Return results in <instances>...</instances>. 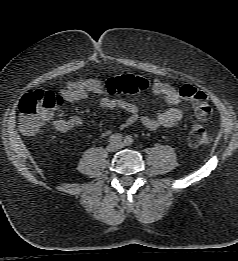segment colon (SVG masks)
Instances as JSON below:
<instances>
[{
	"label": "colon",
	"instance_id": "colon-1",
	"mask_svg": "<svg viewBox=\"0 0 238 261\" xmlns=\"http://www.w3.org/2000/svg\"><path fill=\"white\" fill-rule=\"evenodd\" d=\"M147 87V80L135 75L113 77L104 83V90L110 95L134 94ZM179 95L192 104L194 114L200 121L190 128L189 143L194 147L206 145L210 136L201 122L208 120L212 114L206 94L192 85H184L180 88ZM61 103V99L50 91L38 90L25 94L19 103V127L23 134H35L46 123L51 109Z\"/></svg>",
	"mask_w": 238,
	"mask_h": 261
}]
</instances>
